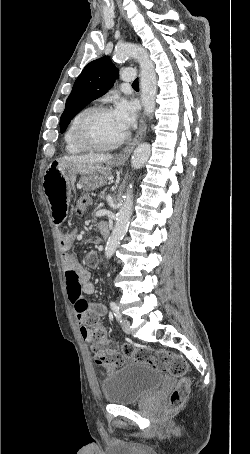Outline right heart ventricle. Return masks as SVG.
Instances as JSON below:
<instances>
[{
	"label": "right heart ventricle",
	"mask_w": 250,
	"mask_h": 454,
	"mask_svg": "<svg viewBox=\"0 0 250 454\" xmlns=\"http://www.w3.org/2000/svg\"><path fill=\"white\" fill-rule=\"evenodd\" d=\"M88 109L82 110L78 112L73 119L71 120L70 124L68 125L66 132L64 134V142H65V149L70 154H79L86 151L84 148L79 146L74 138V131L76 124L79 118L87 111Z\"/></svg>",
	"instance_id": "1"
}]
</instances>
